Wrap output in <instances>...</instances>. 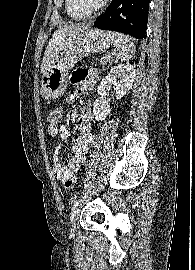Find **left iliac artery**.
Listing matches in <instances>:
<instances>
[{
	"mask_svg": "<svg viewBox=\"0 0 195 270\" xmlns=\"http://www.w3.org/2000/svg\"><path fill=\"white\" fill-rule=\"evenodd\" d=\"M80 202H81V199L74 201L73 207H72V214L75 212V209L79 205Z\"/></svg>",
	"mask_w": 195,
	"mask_h": 270,
	"instance_id": "obj_1",
	"label": "left iliac artery"
}]
</instances>
